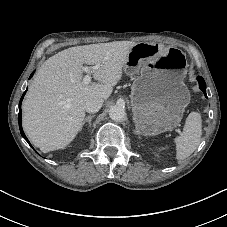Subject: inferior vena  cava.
<instances>
[{
	"label": "inferior vena cava",
	"instance_id": "obj_1",
	"mask_svg": "<svg viewBox=\"0 0 227 227\" xmlns=\"http://www.w3.org/2000/svg\"><path fill=\"white\" fill-rule=\"evenodd\" d=\"M103 99L91 98L85 103V111L88 113H96L102 107Z\"/></svg>",
	"mask_w": 227,
	"mask_h": 227
}]
</instances>
